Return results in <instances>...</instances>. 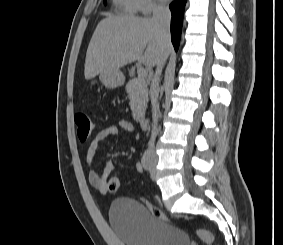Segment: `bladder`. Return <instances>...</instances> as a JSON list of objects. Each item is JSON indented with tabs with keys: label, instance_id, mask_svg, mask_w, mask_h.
Instances as JSON below:
<instances>
[{
	"label": "bladder",
	"instance_id": "31cf9c89",
	"mask_svg": "<svg viewBox=\"0 0 283 245\" xmlns=\"http://www.w3.org/2000/svg\"><path fill=\"white\" fill-rule=\"evenodd\" d=\"M109 221L125 245H190L184 231L155 217L145 204L131 198L111 203Z\"/></svg>",
	"mask_w": 283,
	"mask_h": 245
}]
</instances>
